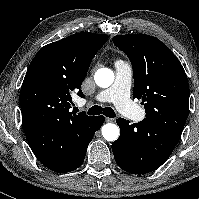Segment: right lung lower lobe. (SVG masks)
Listing matches in <instances>:
<instances>
[{"label":"right lung lower lobe","mask_w":199,"mask_h":199,"mask_svg":"<svg viewBox=\"0 0 199 199\" xmlns=\"http://www.w3.org/2000/svg\"><path fill=\"white\" fill-rule=\"evenodd\" d=\"M104 120L103 116H94L78 128L62 145L58 155L49 153V149H51L50 140L39 131H25V135L33 153L45 167L58 173H66L82 165L87 147Z\"/></svg>","instance_id":"obj_1"}]
</instances>
